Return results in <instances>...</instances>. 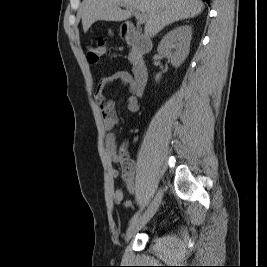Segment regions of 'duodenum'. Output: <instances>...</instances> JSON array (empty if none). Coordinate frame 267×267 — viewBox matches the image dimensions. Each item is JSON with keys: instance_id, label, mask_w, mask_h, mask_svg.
Returning a JSON list of instances; mask_svg holds the SVG:
<instances>
[{"instance_id": "1", "label": "duodenum", "mask_w": 267, "mask_h": 267, "mask_svg": "<svg viewBox=\"0 0 267 267\" xmlns=\"http://www.w3.org/2000/svg\"><path fill=\"white\" fill-rule=\"evenodd\" d=\"M123 37L126 43L133 46L139 54H146L152 49V42L143 36L133 24L127 23L123 28ZM134 77V93L137 96L142 95L148 80V69L146 64L139 60L132 69Z\"/></svg>"}]
</instances>
